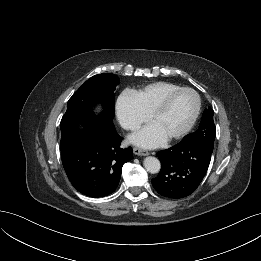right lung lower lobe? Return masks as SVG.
I'll return each instance as SVG.
<instances>
[{"instance_id":"right-lung-lower-lobe-1","label":"right lung lower lobe","mask_w":261,"mask_h":261,"mask_svg":"<svg viewBox=\"0 0 261 261\" xmlns=\"http://www.w3.org/2000/svg\"><path fill=\"white\" fill-rule=\"evenodd\" d=\"M61 130L60 151L65 172L72 185L89 197L113 193L124 163L133 158L131 147L123 149V138L112 120L95 119Z\"/></svg>"}]
</instances>
